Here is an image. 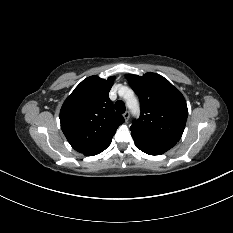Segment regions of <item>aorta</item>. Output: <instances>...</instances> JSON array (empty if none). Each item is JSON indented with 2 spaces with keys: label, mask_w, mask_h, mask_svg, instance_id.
Masks as SVG:
<instances>
[{
  "label": "aorta",
  "mask_w": 233,
  "mask_h": 233,
  "mask_svg": "<svg viewBox=\"0 0 233 233\" xmlns=\"http://www.w3.org/2000/svg\"><path fill=\"white\" fill-rule=\"evenodd\" d=\"M133 102L134 105L130 107V109L134 112L137 113L138 112V102L135 98H131L130 100H128L127 104L128 106L130 105V103Z\"/></svg>",
  "instance_id": "obj_1"
}]
</instances>
